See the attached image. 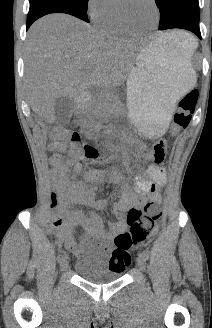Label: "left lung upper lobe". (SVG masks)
I'll return each mask as SVG.
<instances>
[{
	"label": "left lung upper lobe",
	"mask_w": 212,
	"mask_h": 328,
	"mask_svg": "<svg viewBox=\"0 0 212 328\" xmlns=\"http://www.w3.org/2000/svg\"><path fill=\"white\" fill-rule=\"evenodd\" d=\"M160 10V24L166 25L177 15H186L199 22L198 0H155Z\"/></svg>",
	"instance_id": "obj_1"
}]
</instances>
